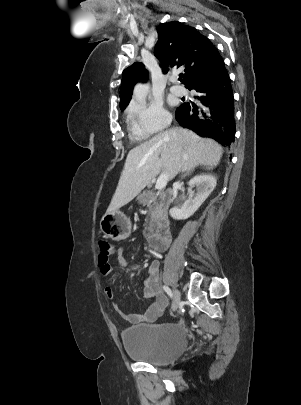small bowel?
I'll return each instance as SVG.
<instances>
[{"instance_id":"1","label":"small bowel","mask_w":301,"mask_h":405,"mask_svg":"<svg viewBox=\"0 0 301 405\" xmlns=\"http://www.w3.org/2000/svg\"><path fill=\"white\" fill-rule=\"evenodd\" d=\"M117 256L118 263L121 267H127L128 262L124 257L123 251L120 248L111 247L110 253L107 257L99 256V268L103 277L109 276L111 273L110 257ZM158 272L159 262L152 261L147 267V275L144 280L143 297L150 300L151 303L142 314H130L119 311L120 315L132 324L140 323H154L163 314L167 305L166 296L159 290L158 287ZM105 297L114 302V290L110 286L104 288Z\"/></svg>"}]
</instances>
